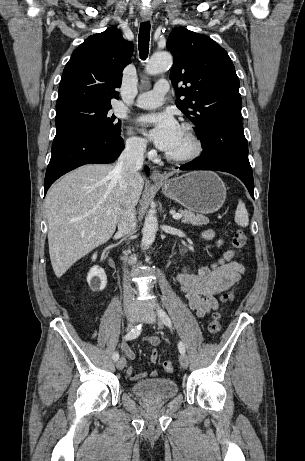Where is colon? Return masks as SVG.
<instances>
[{"label": "colon", "instance_id": "5ec220e1", "mask_svg": "<svg viewBox=\"0 0 305 461\" xmlns=\"http://www.w3.org/2000/svg\"><path fill=\"white\" fill-rule=\"evenodd\" d=\"M247 242V236L244 233V231L238 229L234 232L233 234V245L236 248H243ZM229 298L228 293H223L221 295V301H226ZM220 318L221 315L219 312H214L212 315V318L210 320V323L208 325V331L210 334L215 335L220 331L221 325H220ZM163 368L167 373H172L175 370V365L172 361H165L163 363Z\"/></svg>", "mask_w": 305, "mask_h": 461}]
</instances>
